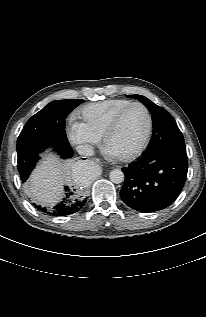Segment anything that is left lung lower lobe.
I'll list each match as a JSON object with an SVG mask.
<instances>
[{"label": "left lung lower lobe", "mask_w": 206, "mask_h": 317, "mask_svg": "<svg viewBox=\"0 0 206 317\" xmlns=\"http://www.w3.org/2000/svg\"><path fill=\"white\" fill-rule=\"evenodd\" d=\"M187 171L184 150L165 148L146 152L122 169L125 181L120 197L126 205L140 212L165 209L178 197Z\"/></svg>", "instance_id": "left-lung-lower-lobe-1"}]
</instances>
